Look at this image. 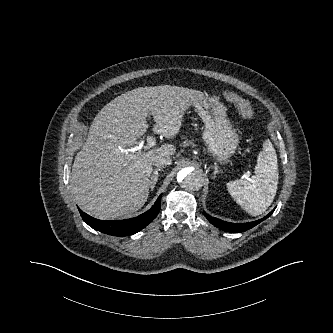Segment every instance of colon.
<instances>
[{"label":"colon","instance_id":"5ec220e1","mask_svg":"<svg viewBox=\"0 0 333 333\" xmlns=\"http://www.w3.org/2000/svg\"><path fill=\"white\" fill-rule=\"evenodd\" d=\"M223 95L226 100H228L235 106V108L243 118H253L254 110L247 99L241 97L240 95L232 91H225Z\"/></svg>","mask_w":333,"mask_h":333}]
</instances>
